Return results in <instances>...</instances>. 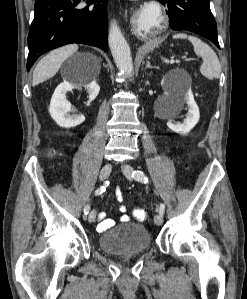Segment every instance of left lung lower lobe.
Returning <instances> with one entry per match:
<instances>
[{"label":"left lung lower lobe","mask_w":247,"mask_h":299,"mask_svg":"<svg viewBox=\"0 0 247 299\" xmlns=\"http://www.w3.org/2000/svg\"><path fill=\"white\" fill-rule=\"evenodd\" d=\"M168 8L170 27L188 30L212 41L220 48L216 21L209 7V0H158Z\"/></svg>","instance_id":"0a47b994"}]
</instances>
